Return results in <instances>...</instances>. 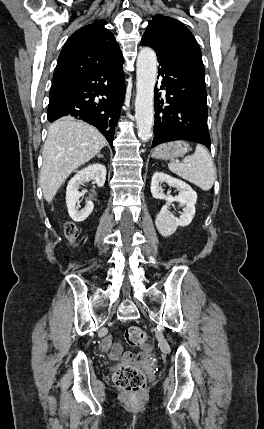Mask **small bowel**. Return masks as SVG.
<instances>
[{
  "label": "small bowel",
  "mask_w": 264,
  "mask_h": 429,
  "mask_svg": "<svg viewBox=\"0 0 264 429\" xmlns=\"http://www.w3.org/2000/svg\"><path fill=\"white\" fill-rule=\"evenodd\" d=\"M102 350L109 355L113 360H122L123 362H130L133 359L131 353L122 354V347L120 344H113L112 337L106 336L102 341ZM145 352L149 351V347L145 346L143 349Z\"/></svg>",
  "instance_id": "small-bowel-1"
}]
</instances>
